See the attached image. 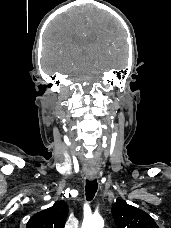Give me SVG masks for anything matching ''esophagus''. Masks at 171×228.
Here are the masks:
<instances>
[{
  "label": "esophagus",
  "mask_w": 171,
  "mask_h": 228,
  "mask_svg": "<svg viewBox=\"0 0 171 228\" xmlns=\"http://www.w3.org/2000/svg\"><path fill=\"white\" fill-rule=\"evenodd\" d=\"M95 178H96V176H94V175L89 176V179H90L91 181H93Z\"/></svg>",
  "instance_id": "34e87169"
}]
</instances>
